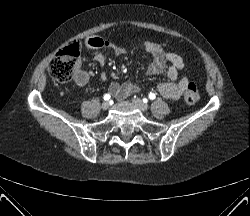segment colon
Returning <instances> with one entry per match:
<instances>
[{
	"mask_svg": "<svg viewBox=\"0 0 250 216\" xmlns=\"http://www.w3.org/2000/svg\"><path fill=\"white\" fill-rule=\"evenodd\" d=\"M81 66L80 47L77 43L61 49L53 58L49 66V73L53 79L59 82H67L78 72ZM184 100L193 104L199 100V92L195 83H189Z\"/></svg>",
	"mask_w": 250,
	"mask_h": 216,
	"instance_id": "obj_1",
	"label": "colon"
}]
</instances>
